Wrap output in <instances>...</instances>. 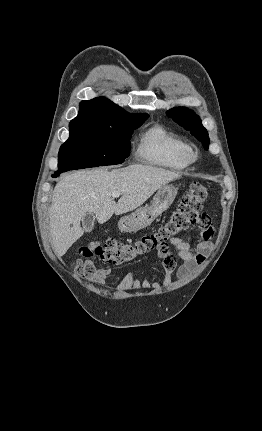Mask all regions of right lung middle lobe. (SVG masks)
Masks as SVG:
<instances>
[{"label": "right lung middle lobe", "instance_id": "obj_1", "mask_svg": "<svg viewBox=\"0 0 262 431\" xmlns=\"http://www.w3.org/2000/svg\"><path fill=\"white\" fill-rule=\"evenodd\" d=\"M148 117L70 124V136L59 150L58 172L123 163L129 156L133 130Z\"/></svg>", "mask_w": 262, "mask_h": 431}]
</instances>
